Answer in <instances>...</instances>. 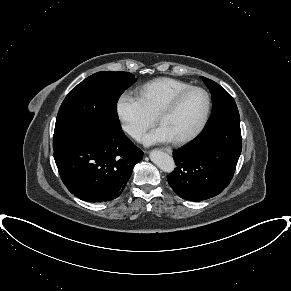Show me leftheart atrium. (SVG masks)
Wrapping results in <instances>:
<instances>
[{
    "label": "left heart atrium",
    "instance_id": "obj_1",
    "mask_svg": "<svg viewBox=\"0 0 291 291\" xmlns=\"http://www.w3.org/2000/svg\"><path fill=\"white\" fill-rule=\"evenodd\" d=\"M170 141H172V138L166 132V130L161 126L151 131L150 133H148L144 138V142L147 145L155 144L159 142H170Z\"/></svg>",
    "mask_w": 291,
    "mask_h": 291
}]
</instances>
